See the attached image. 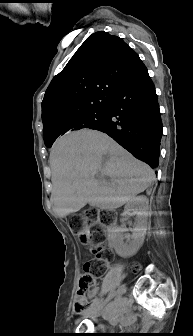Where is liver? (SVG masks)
I'll list each match as a JSON object with an SVG mask.
<instances>
[{
    "label": "liver",
    "mask_w": 193,
    "mask_h": 336,
    "mask_svg": "<svg viewBox=\"0 0 193 336\" xmlns=\"http://www.w3.org/2000/svg\"><path fill=\"white\" fill-rule=\"evenodd\" d=\"M49 161L52 198L60 218L87 203L100 209H116L155 180L154 171L147 164L96 130H80L59 139ZM97 176H108L111 182Z\"/></svg>",
    "instance_id": "1"
}]
</instances>
